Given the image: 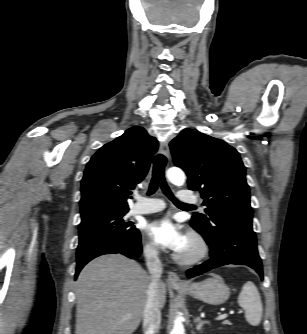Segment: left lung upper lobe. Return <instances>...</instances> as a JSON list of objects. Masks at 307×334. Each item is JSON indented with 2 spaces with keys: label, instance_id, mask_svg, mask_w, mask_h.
<instances>
[{
  "label": "left lung upper lobe",
  "instance_id": "5c2ea615",
  "mask_svg": "<svg viewBox=\"0 0 307 334\" xmlns=\"http://www.w3.org/2000/svg\"><path fill=\"white\" fill-rule=\"evenodd\" d=\"M173 160L188 176L189 189L198 190L206 206L191 224L208 231L220 219L252 222L249 186L239 153L223 140L192 130L170 143Z\"/></svg>",
  "mask_w": 307,
  "mask_h": 334
}]
</instances>
